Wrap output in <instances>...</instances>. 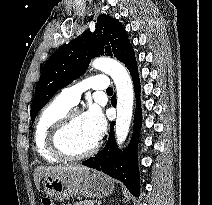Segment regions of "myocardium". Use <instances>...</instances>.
Masks as SVG:
<instances>
[{"label": "myocardium", "mask_w": 212, "mask_h": 205, "mask_svg": "<svg viewBox=\"0 0 212 205\" xmlns=\"http://www.w3.org/2000/svg\"><path fill=\"white\" fill-rule=\"evenodd\" d=\"M77 115H80L79 110L67 111L50 129L48 134V147L52 154L66 161H77L92 156L99 148V141L97 140L88 150L73 154L66 150L64 146V137L66 131Z\"/></svg>", "instance_id": "1"}]
</instances>
